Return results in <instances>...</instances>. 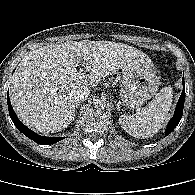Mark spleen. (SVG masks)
<instances>
[{
    "instance_id": "3e777b00",
    "label": "spleen",
    "mask_w": 195,
    "mask_h": 195,
    "mask_svg": "<svg viewBox=\"0 0 195 195\" xmlns=\"http://www.w3.org/2000/svg\"><path fill=\"white\" fill-rule=\"evenodd\" d=\"M172 98V88L164 87L147 106L135 115H121L119 124L133 137H152L168 119Z\"/></svg>"
}]
</instances>
